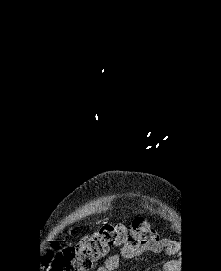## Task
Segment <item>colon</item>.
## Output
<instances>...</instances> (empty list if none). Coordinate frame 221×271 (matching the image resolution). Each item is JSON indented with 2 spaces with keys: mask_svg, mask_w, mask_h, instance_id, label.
<instances>
[{
  "mask_svg": "<svg viewBox=\"0 0 221 271\" xmlns=\"http://www.w3.org/2000/svg\"><path fill=\"white\" fill-rule=\"evenodd\" d=\"M157 239V232L144 218L128 223H106L75 244H55L41 260L45 271H92L114 248L138 250Z\"/></svg>",
  "mask_w": 221,
  "mask_h": 271,
  "instance_id": "1",
  "label": "colon"
}]
</instances>
